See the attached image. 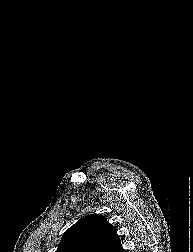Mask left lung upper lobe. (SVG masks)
Wrapping results in <instances>:
<instances>
[{
	"mask_svg": "<svg viewBox=\"0 0 193 252\" xmlns=\"http://www.w3.org/2000/svg\"><path fill=\"white\" fill-rule=\"evenodd\" d=\"M56 252H123L116 229L98 214L72 225L62 236Z\"/></svg>",
	"mask_w": 193,
	"mask_h": 252,
	"instance_id": "left-lung-upper-lobe-1",
	"label": "left lung upper lobe"
}]
</instances>
